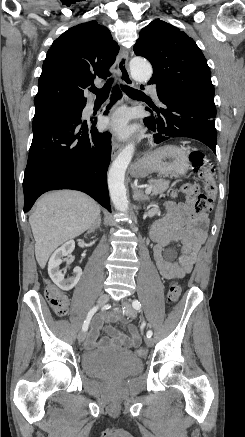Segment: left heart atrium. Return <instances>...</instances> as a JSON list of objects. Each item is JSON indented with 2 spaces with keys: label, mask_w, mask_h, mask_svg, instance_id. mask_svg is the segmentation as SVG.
<instances>
[{
  "label": "left heart atrium",
  "mask_w": 245,
  "mask_h": 437,
  "mask_svg": "<svg viewBox=\"0 0 245 437\" xmlns=\"http://www.w3.org/2000/svg\"><path fill=\"white\" fill-rule=\"evenodd\" d=\"M130 115L128 111L121 109L114 112L111 116L105 119V128L118 138H125L131 132L132 128L129 124Z\"/></svg>",
  "instance_id": "1"
}]
</instances>
